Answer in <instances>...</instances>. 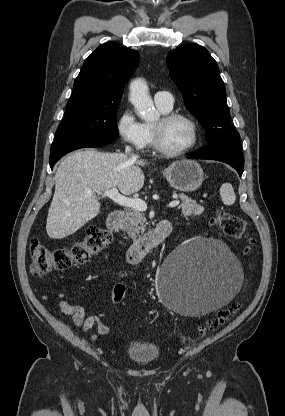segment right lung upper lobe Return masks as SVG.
<instances>
[{"label":"right lung upper lobe","instance_id":"cb5924a9","mask_svg":"<svg viewBox=\"0 0 285 416\" xmlns=\"http://www.w3.org/2000/svg\"><path fill=\"white\" fill-rule=\"evenodd\" d=\"M139 54L116 42L100 45L85 60L71 98L83 101L117 100L139 63Z\"/></svg>","mask_w":285,"mask_h":416}]
</instances>
